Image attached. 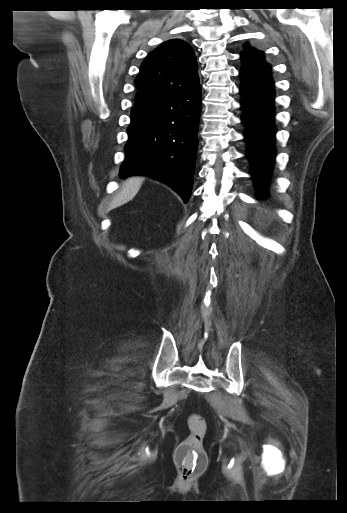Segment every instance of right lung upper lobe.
<instances>
[{"mask_svg": "<svg viewBox=\"0 0 347 513\" xmlns=\"http://www.w3.org/2000/svg\"><path fill=\"white\" fill-rule=\"evenodd\" d=\"M136 103L150 102L200 87L197 62L189 43L172 39L152 51L135 80Z\"/></svg>", "mask_w": 347, "mask_h": 513, "instance_id": "1", "label": "right lung upper lobe"}]
</instances>
